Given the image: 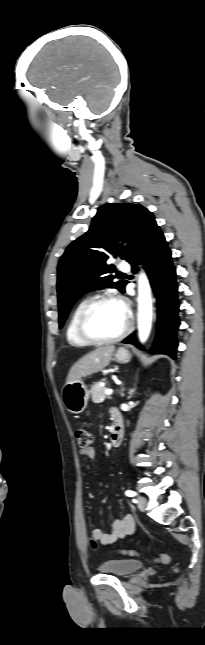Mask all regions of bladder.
<instances>
[{
	"mask_svg": "<svg viewBox=\"0 0 205 645\" xmlns=\"http://www.w3.org/2000/svg\"><path fill=\"white\" fill-rule=\"evenodd\" d=\"M142 568L143 563L140 560L129 558L109 559L98 566L100 572L117 576H129L140 571Z\"/></svg>",
	"mask_w": 205,
	"mask_h": 645,
	"instance_id": "1",
	"label": "bladder"
}]
</instances>
